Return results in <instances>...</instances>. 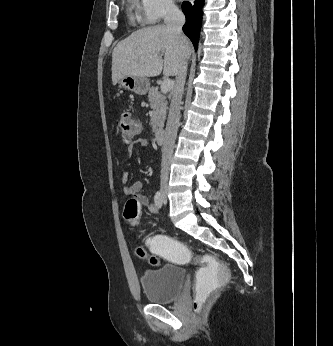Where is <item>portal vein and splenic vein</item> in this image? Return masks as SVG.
Wrapping results in <instances>:
<instances>
[{"instance_id": "18ae733b", "label": "portal vein and splenic vein", "mask_w": 333, "mask_h": 346, "mask_svg": "<svg viewBox=\"0 0 333 346\" xmlns=\"http://www.w3.org/2000/svg\"><path fill=\"white\" fill-rule=\"evenodd\" d=\"M173 81L170 79H165L161 84V92L167 93L173 88Z\"/></svg>"}]
</instances>
